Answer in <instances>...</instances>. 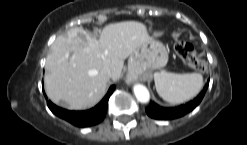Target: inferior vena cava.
Masks as SVG:
<instances>
[{
  "label": "inferior vena cava",
  "mask_w": 247,
  "mask_h": 145,
  "mask_svg": "<svg viewBox=\"0 0 247 145\" xmlns=\"http://www.w3.org/2000/svg\"><path fill=\"white\" fill-rule=\"evenodd\" d=\"M102 75L106 78H111V71L108 67L103 68L101 71Z\"/></svg>",
  "instance_id": "inferior-vena-cava-1"
}]
</instances>
